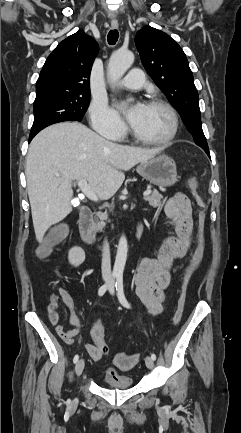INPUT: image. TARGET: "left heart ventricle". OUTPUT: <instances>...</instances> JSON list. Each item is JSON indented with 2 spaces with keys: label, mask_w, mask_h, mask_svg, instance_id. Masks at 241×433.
I'll use <instances>...</instances> for the list:
<instances>
[{
  "label": "left heart ventricle",
  "mask_w": 241,
  "mask_h": 433,
  "mask_svg": "<svg viewBox=\"0 0 241 433\" xmlns=\"http://www.w3.org/2000/svg\"><path fill=\"white\" fill-rule=\"evenodd\" d=\"M172 126V117L165 108L145 105L138 120L132 127L145 138L159 140L169 135Z\"/></svg>",
  "instance_id": "b2bd125f"
}]
</instances>
